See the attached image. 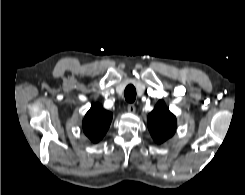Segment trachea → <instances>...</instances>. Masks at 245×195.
I'll list each match as a JSON object with an SVG mask.
<instances>
[{
    "label": "trachea",
    "instance_id": "1",
    "mask_svg": "<svg viewBox=\"0 0 245 195\" xmlns=\"http://www.w3.org/2000/svg\"><path fill=\"white\" fill-rule=\"evenodd\" d=\"M125 100L129 103H133L136 99V89L133 85H128L124 91Z\"/></svg>",
    "mask_w": 245,
    "mask_h": 195
}]
</instances>
